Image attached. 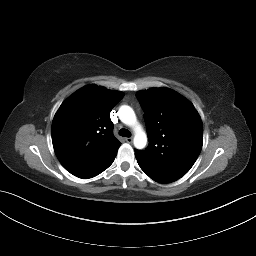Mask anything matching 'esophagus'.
<instances>
[{
    "mask_svg": "<svg viewBox=\"0 0 256 256\" xmlns=\"http://www.w3.org/2000/svg\"><path fill=\"white\" fill-rule=\"evenodd\" d=\"M126 142H127V143H132V142H133V139H132L131 137H128V138H126Z\"/></svg>",
    "mask_w": 256,
    "mask_h": 256,
    "instance_id": "34e87169",
    "label": "esophagus"
}]
</instances>
